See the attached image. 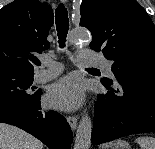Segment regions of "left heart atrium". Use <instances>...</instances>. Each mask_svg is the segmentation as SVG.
I'll return each instance as SVG.
<instances>
[{
	"label": "left heart atrium",
	"instance_id": "1",
	"mask_svg": "<svg viewBox=\"0 0 155 149\" xmlns=\"http://www.w3.org/2000/svg\"><path fill=\"white\" fill-rule=\"evenodd\" d=\"M82 81L74 75L66 76L53 84L47 93V102L51 107L72 110L83 100Z\"/></svg>",
	"mask_w": 155,
	"mask_h": 149
}]
</instances>
